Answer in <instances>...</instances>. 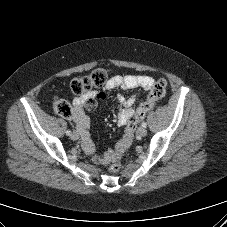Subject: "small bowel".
I'll return each instance as SVG.
<instances>
[{"label":"small bowel","mask_w":227,"mask_h":227,"mask_svg":"<svg viewBox=\"0 0 227 227\" xmlns=\"http://www.w3.org/2000/svg\"><path fill=\"white\" fill-rule=\"evenodd\" d=\"M154 84V79L147 75H115L108 79L105 84L106 90L121 88L124 90L142 88L145 91H150ZM99 99H105V94L88 93L77 96L73 100L72 120L81 136L83 148L86 153L93 157L96 163L106 165L110 160L121 156L132 142L133 130L136 122L131 119L136 111L134 106L137 103V96H131L126 99L123 96H117L118 103V124L125 128L124 135L117 142L115 148L109 149L103 154L95 153V146L90 133V119L85 111L91 112L95 110Z\"/></svg>","instance_id":"small-bowel-1"}]
</instances>
